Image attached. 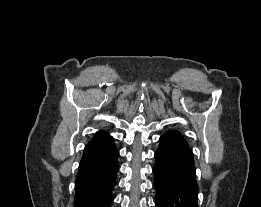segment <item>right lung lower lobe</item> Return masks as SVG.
I'll use <instances>...</instances> for the list:
<instances>
[{
    "mask_svg": "<svg viewBox=\"0 0 261 207\" xmlns=\"http://www.w3.org/2000/svg\"><path fill=\"white\" fill-rule=\"evenodd\" d=\"M118 156L111 136L85 147L76 176L74 207L111 206Z\"/></svg>",
    "mask_w": 261,
    "mask_h": 207,
    "instance_id": "1",
    "label": "right lung lower lobe"
}]
</instances>
